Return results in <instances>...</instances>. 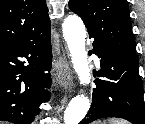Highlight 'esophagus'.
<instances>
[{"label": "esophagus", "instance_id": "34e87169", "mask_svg": "<svg viewBox=\"0 0 145 124\" xmlns=\"http://www.w3.org/2000/svg\"><path fill=\"white\" fill-rule=\"evenodd\" d=\"M58 74V83L63 90L71 91L74 84L72 76L69 72V63L65 56H62L56 63Z\"/></svg>", "mask_w": 145, "mask_h": 124}]
</instances>
